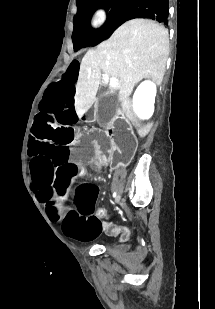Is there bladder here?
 Returning <instances> with one entry per match:
<instances>
[{
	"label": "bladder",
	"mask_w": 215,
	"mask_h": 309,
	"mask_svg": "<svg viewBox=\"0 0 215 309\" xmlns=\"http://www.w3.org/2000/svg\"><path fill=\"white\" fill-rule=\"evenodd\" d=\"M118 248L120 251H127L129 249L127 245H120Z\"/></svg>",
	"instance_id": "bladder-1"
}]
</instances>
